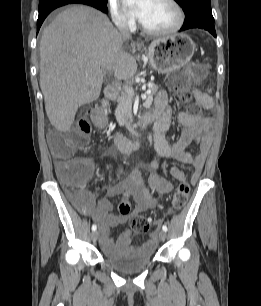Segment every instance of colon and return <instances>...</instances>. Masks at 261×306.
<instances>
[{
  "label": "colon",
  "mask_w": 261,
  "mask_h": 306,
  "mask_svg": "<svg viewBox=\"0 0 261 306\" xmlns=\"http://www.w3.org/2000/svg\"><path fill=\"white\" fill-rule=\"evenodd\" d=\"M205 76V67L202 64H191L187 68L173 73L167 78L170 89L175 93L178 102H187L191 98L192 87L201 83ZM104 111L99 107H90L80 117L74 128L58 133L51 140L54 155L68 165L59 171L62 182L70 187L82 186L89 177L88 159L73 157L74 153L87 145L92 132V119L101 118ZM189 185L181 183L172 197V204L176 209L182 208L188 201ZM122 215L129 214L130 205L124 200L119 205ZM129 226L136 233H146L150 230L148 218L142 215H133L129 219Z\"/></svg>",
  "instance_id": "colon-1"
}]
</instances>
